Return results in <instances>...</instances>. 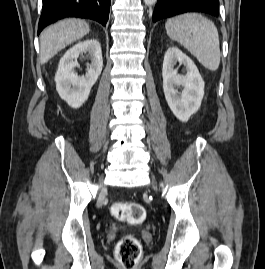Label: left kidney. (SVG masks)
I'll list each match as a JSON object with an SVG mask.
<instances>
[{
  "mask_svg": "<svg viewBox=\"0 0 265 269\" xmlns=\"http://www.w3.org/2000/svg\"><path fill=\"white\" fill-rule=\"evenodd\" d=\"M186 68V75H178L175 65ZM163 90L168 106L182 122H187L201 106L205 83L194 62L177 47H170L164 56ZM178 87L183 90L180 93Z\"/></svg>",
  "mask_w": 265,
  "mask_h": 269,
  "instance_id": "1",
  "label": "left kidney"
}]
</instances>
